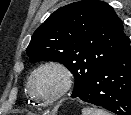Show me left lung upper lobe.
Here are the masks:
<instances>
[{
	"mask_svg": "<svg viewBox=\"0 0 131 115\" xmlns=\"http://www.w3.org/2000/svg\"><path fill=\"white\" fill-rule=\"evenodd\" d=\"M130 42L113 8L83 0L59 8L38 27L27 47L32 62L56 61L74 75L77 97Z\"/></svg>",
	"mask_w": 131,
	"mask_h": 115,
	"instance_id": "obj_1",
	"label": "left lung upper lobe"
}]
</instances>
